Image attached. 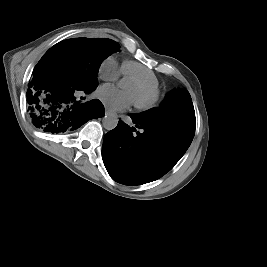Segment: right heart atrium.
Segmentation results:
<instances>
[{
    "label": "right heart atrium",
    "mask_w": 267,
    "mask_h": 267,
    "mask_svg": "<svg viewBox=\"0 0 267 267\" xmlns=\"http://www.w3.org/2000/svg\"><path fill=\"white\" fill-rule=\"evenodd\" d=\"M100 75L106 80H116L119 77V70L115 66L113 58H107L101 66Z\"/></svg>",
    "instance_id": "right-heart-atrium-1"
}]
</instances>
